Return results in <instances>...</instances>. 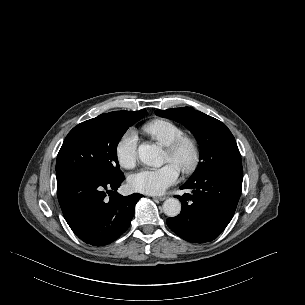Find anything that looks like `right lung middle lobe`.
<instances>
[{
	"instance_id": "1",
	"label": "right lung middle lobe",
	"mask_w": 305,
	"mask_h": 305,
	"mask_svg": "<svg viewBox=\"0 0 305 305\" xmlns=\"http://www.w3.org/2000/svg\"><path fill=\"white\" fill-rule=\"evenodd\" d=\"M146 111L104 113L75 126L65 138L58 153L56 175L79 173L108 180L123 175L116 149L126 130L140 120Z\"/></svg>"
}]
</instances>
